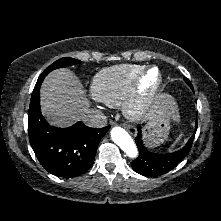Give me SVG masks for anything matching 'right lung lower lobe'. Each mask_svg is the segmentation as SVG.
<instances>
[{
    "instance_id": "right-lung-lower-lobe-1",
    "label": "right lung lower lobe",
    "mask_w": 221,
    "mask_h": 221,
    "mask_svg": "<svg viewBox=\"0 0 221 221\" xmlns=\"http://www.w3.org/2000/svg\"><path fill=\"white\" fill-rule=\"evenodd\" d=\"M41 83L34 87L28 113L32 149L48 172L64 178L80 176L93 164L98 144L109 127L91 128L82 122L65 129L50 126L39 108Z\"/></svg>"
}]
</instances>
